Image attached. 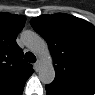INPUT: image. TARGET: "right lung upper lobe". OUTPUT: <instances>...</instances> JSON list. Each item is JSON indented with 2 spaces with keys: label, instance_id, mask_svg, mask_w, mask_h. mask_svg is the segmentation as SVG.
Returning <instances> with one entry per match:
<instances>
[{
  "label": "right lung upper lobe",
  "instance_id": "cb5924a9",
  "mask_svg": "<svg viewBox=\"0 0 95 95\" xmlns=\"http://www.w3.org/2000/svg\"><path fill=\"white\" fill-rule=\"evenodd\" d=\"M25 22L24 16L0 14V95H21L26 80L34 72L23 60V52L16 43Z\"/></svg>",
  "mask_w": 95,
  "mask_h": 95
}]
</instances>
